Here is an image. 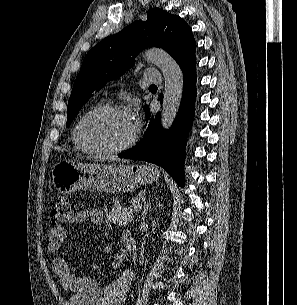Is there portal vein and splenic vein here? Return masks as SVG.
Masks as SVG:
<instances>
[{
  "label": "portal vein and splenic vein",
  "instance_id": "18ae733b",
  "mask_svg": "<svg viewBox=\"0 0 297 305\" xmlns=\"http://www.w3.org/2000/svg\"><path fill=\"white\" fill-rule=\"evenodd\" d=\"M140 208V203L133 204V210L137 211Z\"/></svg>",
  "mask_w": 297,
  "mask_h": 305
}]
</instances>
